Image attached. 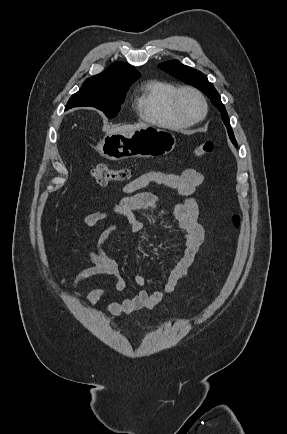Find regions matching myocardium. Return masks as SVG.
Segmentation results:
<instances>
[{
	"label": "myocardium",
	"instance_id": "1",
	"mask_svg": "<svg viewBox=\"0 0 287 434\" xmlns=\"http://www.w3.org/2000/svg\"><path fill=\"white\" fill-rule=\"evenodd\" d=\"M185 93L193 94L194 96H196L198 98V100L201 103L202 112L196 118H190V117L186 116L181 109L180 100H181V97ZM170 105H171V109H172L173 114L178 119H180L181 121L185 122L188 125L196 124V123L200 122L201 120H203L207 114V108H208L207 107V101H206V98L203 95V93L200 90H198L197 88L192 87V86H183V87L177 88L171 97Z\"/></svg>",
	"mask_w": 287,
	"mask_h": 434
}]
</instances>
